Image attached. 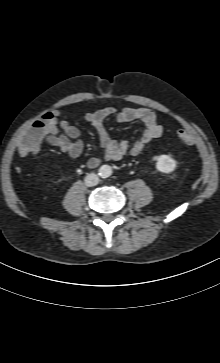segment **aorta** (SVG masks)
<instances>
[{
	"instance_id": "1",
	"label": "aorta",
	"mask_w": 220,
	"mask_h": 363,
	"mask_svg": "<svg viewBox=\"0 0 220 363\" xmlns=\"http://www.w3.org/2000/svg\"><path fill=\"white\" fill-rule=\"evenodd\" d=\"M112 174V168L109 165H103L99 169V175L103 178H107Z\"/></svg>"
}]
</instances>
